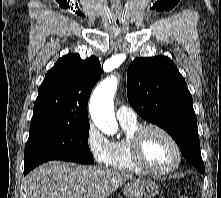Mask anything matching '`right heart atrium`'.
<instances>
[{
    "label": "right heart atrium",
    "instance_id": "1",
    "mask_svg": "<svg viewBox=\"0 0 221 198\" xmlns=\"http://www.w3.org/2000/svg\"><path fill=\"white\" fill-rule=\"evenodd\" d=\"M85 142L96 163L103 166L109 165L112 142L93 123L88 125Z\"/></svg>",
    "mask_w": 221,
    "mask_h": 198
}]
</instances>
